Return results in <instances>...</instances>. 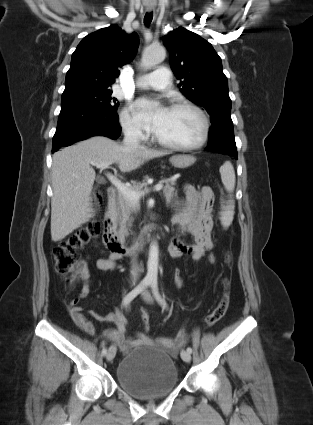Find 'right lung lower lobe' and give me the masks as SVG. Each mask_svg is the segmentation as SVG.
Returning a JSON list of instances; mask_svg holds the SVG:
<instances>
[{"label": "right lung lower lobe", "mask_w": 313, "mask_h": 425, "mask_svg": "<svg viewBox=\"0 0 313 425\" xmlns=\"http://www.w3.org/2000/svg\"><path fill=\"white\" fill-rule=\"evenodd\" d=\"M121 134L118 115L76 102L61 103L52 152L92 136L116 139Z\"/></svg>", "instance_id": "1"}]
</instances>
